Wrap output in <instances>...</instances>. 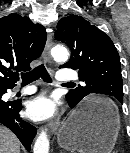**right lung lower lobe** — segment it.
Returning a JSON list of instances; mask_svg holds the SVG:
<instances>
[{"mask_svg": "<svg viewBox=\"0 0 130 153\" xmlns=\"http://www.w3.org/2000/svg\"><path fill=\"white\" fill-rule=\"evenodd\" d=\"M0 88V123L8 127L19 138L24 147L29 151L31 142L36 134V128L20 118L18 112L22 109L20 101H3L2 95L8 88Z\"/></svg>", "mask_w": 130, "mask_h": 153, "instance_id": "right-lung-lower-lobe-1", "label": "right lung lower lobe"}]
</instances>
